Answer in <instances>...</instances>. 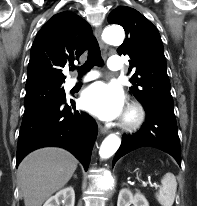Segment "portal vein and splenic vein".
I'll return each mask as SVG.
<instances>
[{"mask_svg":"<svg viewBox=\"0 0 197 206\" xmlns=\"http://www.w3.org/2000/svg\"><path fill=\"white\" fill-rule=\"evenodd\" d=\"M147 184H149L151 187H154V188L160 187L157 183H151V182H143V183H142V186H143V187H146Z\"/></svg>","mask_w":197,"mask_h":206,"instance_id":"portal-vein-and-splenic-vein-1","label":"portal vein and splenic vein"}]
</instances>
